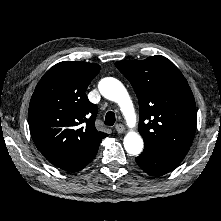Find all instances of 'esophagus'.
Masks as SVG:
<instances>
[{"mask_svg":"<svg viewBox=\"0 0 221 221\" xmlns=\"http://www.w3.org/2000/svg\"><path fill=\"white\" fill-rule=\"evenodd\" d=\"M115 129L119 134H122L125 132V127L122 124H117L115 126Z\"/></svg>","mask_w":221,"mask_h":221,"instance_id":"1","label":"esophagus"}]
</instances>
